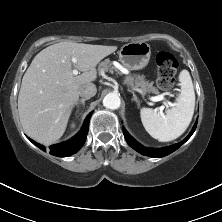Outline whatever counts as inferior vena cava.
Segmentation results:
<instances>
[{
  "instance_id": "inferior-vena-cava-1",
  "label": "inferior vena cava",
  "mask_w": 222,
  "mask_h": 222,
  "mask_svg": "<svg viewBox=\"0 0 222 222\" xmlns=\"http://www.w3.org/2000/svg\"><path fill=\"white\" fill-rule=\"evenodd\" d=\"M97 89L93 83L83 85L79 90V95L83 98H91L96 95Z\"/></svg>"
}]
</instances>
